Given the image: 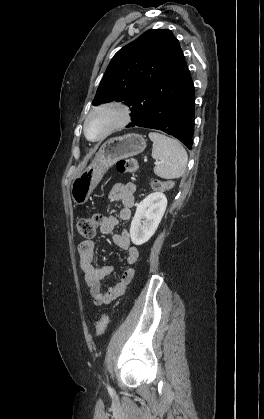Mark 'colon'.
Returning a JSON list of instances; mask_svg holds the SVG:
<instances>
[{"mask_svg":"<svg viewBox=\"0 0 264 419\" xmlns=\"http://www.w3.org/2000/svg\"><path fill=\"white\" fill-rule=\"evenodd\" d=\"M116 168L121 173L136 174L140 170L139 163L132 158L120 159L116 163ZM152 186L155 190L164 191L172 186L171 181H154ZM103 216L100 214H94L92 216H87L80 218L77 222V231L78 233L85 238H91L95 235L96 229L103 221ZM108 325V317L103 314L100 316L96 324V335L101 336Z\"/></svg>","mask_w":264,"mask_h":419,"instance_id":"5ec220e1","label":"colon"}]
</instances>
